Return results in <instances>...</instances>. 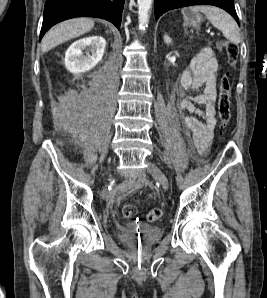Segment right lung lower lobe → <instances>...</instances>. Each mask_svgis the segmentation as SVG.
I'll use <instances>...</instances> for the list:
<instances>
[{"label": "right lung lower lobe", "instance_id": "right-lung-lower-lobe-1", "mask_svg": "<svg viewBox=\"0 0 267 298\" xmlns=\"http://www.w3.org/2000/svg\"><path fill=\"white\" fill-rule=\"evenodd\" d=\"M124 0H46L40 40L49 28L74 17H96L113 23L118 29Z\"/></svg>", "mask_w": 267, "mask_h": 298}]
</instances>
